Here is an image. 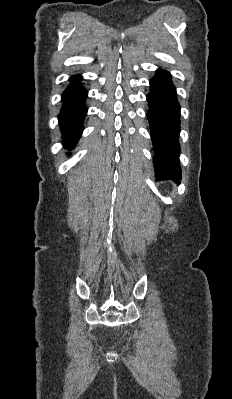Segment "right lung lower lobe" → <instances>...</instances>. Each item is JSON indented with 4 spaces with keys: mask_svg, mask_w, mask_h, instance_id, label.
Listing matches in <instances>:
<instances>
[{
    "mask_svg": "<svg viewBox=\"0 0 232 399\" xmlns=\"http://www.w3.org/2000/svg\"><path fill=\"white\" fill-rule=\"evenodd\" d=\"M80 75L71 78V86L62 94L63 107L58 116L64 144L68 148H74L83 130V120L87 113L85 100L87 91L79 83Z\"/></svg>",
    "mask_w": 232,
    "mask_h": 399,
    "instance_id": "right-lung-lower-lobe-1",
    "label": "right lung lower lobe"
}]
</instances>
